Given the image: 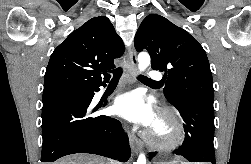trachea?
I'll return each mask as SVG.
<instances>
[{
  "mask_svg": "<svg viewBox=\"0 0 251 164\" xmlns=\"http://www.w3.org/2000/svg\"><path fill=\"white\" fill-rule=\"evenodd\" d=\"M112 73H113V78H112L111 82H118L119 79H120V77H121V75H122V69L118 68V69L112 71ZM139 79L141 81L148 82V83H158V82L153 81V80H151L148 77L143 76V75H140Z\"/></svg>",
  "mask_w": 251,
  "mask_h": 164,
  "instance_id": "trachea-1",
  "label": "trachea"
}]
</instances>
